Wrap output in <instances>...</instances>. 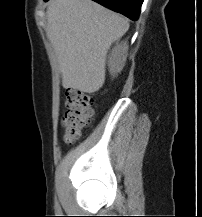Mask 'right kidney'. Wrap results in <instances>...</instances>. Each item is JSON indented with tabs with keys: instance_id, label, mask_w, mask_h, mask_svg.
I'll return each instance as SVG.
<instances>
[{
	"instance_id": "right-kidney-1",
	"label": "right kidney",
	"mask_w": 202,
	"mask_h": 217,
	"mask_svg": "<svg viewBox=\"0 0 202 217\" xmlns=\"http://www.w3.org/2000/svg\"><path fill=\"white\" fill-rule=\"evenodd\" d=\"M128 45L126 42L116 44L112 49L109 57L108 66L112 76L120 73L125 65L127 57Z\"/></svg>"
}]
</instances>
